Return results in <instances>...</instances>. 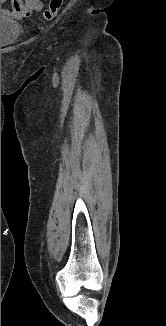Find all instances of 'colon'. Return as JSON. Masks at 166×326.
<instances>
[{
    "label": "colon",
    "instance_id": "5ec220e1",
    "mask_svg": "<svg viewBox=\"0 0 166 326\" xmlns=\"http://www.w3.org/2000/svg\"><path fill=\"white\" fill-rule=\"evenodd\" d=\"M63 5V0H50L48 7L42 12L45 20L54 19Z\"/></svg>",
    "mask_w": 166,
    "mask_h": 326
}]
</instances>
